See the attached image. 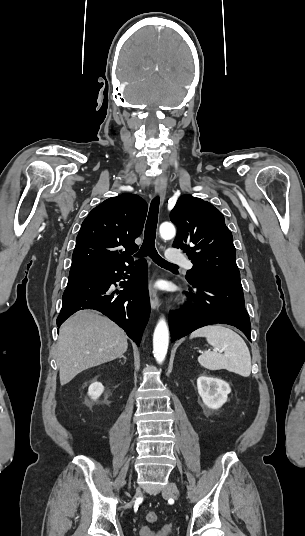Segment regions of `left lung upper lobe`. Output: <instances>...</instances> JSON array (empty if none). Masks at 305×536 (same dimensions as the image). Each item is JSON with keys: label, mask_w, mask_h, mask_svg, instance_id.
<instances>
[{"label": "left lung upper lobe", "mask_w": 305, "mask_h": 536, "mask_svg": "<svg viewBox=\"0 0 305 536\" xmlns=\"http://www.w3.org/2000/svg\"><path fill=\"white\" fill-rule=\"evenodd\" d=\"M177 226L173 247L183 249L193 267L188 282H240L233 237L224 216L212 204L189 194L170 213Z\"/></svg>", "instance_id": "left-lung-upper-lobe-1"}]
</instances>
